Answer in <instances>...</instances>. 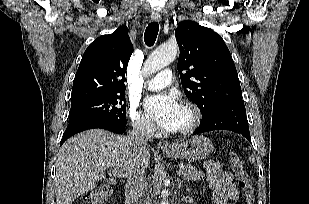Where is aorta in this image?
<instances>
[{
	"mask_svg": "<svg viewBox=\"0 0 309 204\" xmlns=\"http://www.w3.org/2000/svg\"><path fill=\"white\" fill-rule=\"evenodd\" d=\"M178 53V46L176 43H166L158 47L153 51L143 66V72L145 75H151L155 72L168 66L173 62ZM163 200L161 204H169L167 194L163 193Z\"/></svg>",
	"mask_w": 309,
	"mask_h": 204,
	"instance_id": "aorta-1",
	"label": "aorta"
}]
</instances>
